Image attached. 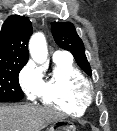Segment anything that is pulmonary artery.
<instances>
[{
    "mask_svg": "<svg viewBox=\"0 0 117 131\" xmlns=\"http://www.w3.org/2000/svg\"><path fill=\"white\" fill-rule=\"evenodd\" d=\"M68 54L63 52V51H55L54 54H53V58L54 59H57V58H62V57H67Z\"/></svg>",
    "mask_w": 117,
    "mask_h": 131,
    "instance_id": "pulmonary-artery-1",
    "label": "pulmonary artery"
}]
</instances>
